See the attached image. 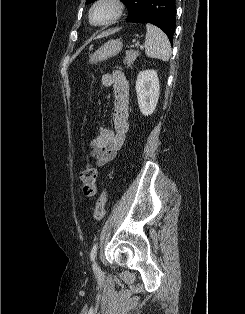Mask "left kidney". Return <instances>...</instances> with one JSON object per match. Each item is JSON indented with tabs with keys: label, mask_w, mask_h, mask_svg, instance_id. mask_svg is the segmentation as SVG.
Returning <instances> with one entry per match:
<instances>
[{
	"label": "left kidney",
	"mask_w": 245,
	"mask_h": 314,
	"mask_svg": "<svg viewBox=\"0 0 245 314\" xmlns=\"http://www.w3.org/2000/svg\"><path fill=\"white\" fill-rule=\"evenodd\" d=\"M138 105L144 116L151 115L158 103L160 84L155 70L141 71L136 80Z\"/></svg>",
	"instance_id": "obj_1"
}]
</instances>
